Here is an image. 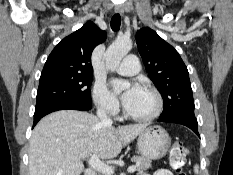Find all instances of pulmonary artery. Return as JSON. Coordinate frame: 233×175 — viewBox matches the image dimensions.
<instances>
[{"instance_id": "pulmonary-artery-1", "label": "pulmonary artery", "mask_w": 233, "mask_h": 175, "mask_svg": "<svg viewBox=\"0 0 233 175\" xmlns=\"http://www.w3.org/2000/svg\"><path fill=\"white\" fill-rule=\"evenodd\" d=\"M140 62L138 58L131 54L124 58V60L117 67V71L125 76H132L139 72Z\"/></svg>"}]
</instances>
